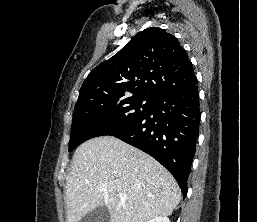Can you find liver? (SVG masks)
Wrapping results in <instances>:
<instances>
[{
	"mask_svg": "<svg viewBox=\"0 0 257 222\" xmlns=\"http://www.w3.org/2000/svg\"><path fill=\"white\" fill-rule=\"evenodd\" d=\"M67 222L106 206L110 222L169 216L181 200L174 177L154 158L112 136L80 145L66 178ZM128 199L121 201L119 194Z\"/></svg>",
	"mask_w": 257,
	"mask_h": 222,
	"instance_id": "liver-1",
	"label": "liver"
}]
</instances>
